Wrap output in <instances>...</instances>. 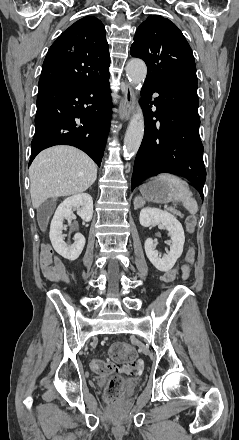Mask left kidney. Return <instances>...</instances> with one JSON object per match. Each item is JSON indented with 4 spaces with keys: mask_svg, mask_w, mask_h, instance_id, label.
<instances>
[{
    "mask_svg": "<svg viewBox=\"0 0 239 440\" xmlns=\"http://www.w3.org/2000/svg\"><path fill=\"white\" fill-rule=\"evenodd\" d=\"M139 220L144 228H149V226H154V224H162L167 232H169L172 244L170 252H167L164 256H161V254L159 256L158 250H155L152 238H147L144 244L146 256L151 264L159 272H169L183 252L185 236L180 222L172 214L158 210V208H143L140 212Z\"/></svg>",
    "mask_w": 239,
    "mask_h": 440,
    "instance_id": "obj_1",
    "label": "left kidney"
}]
</instances>
